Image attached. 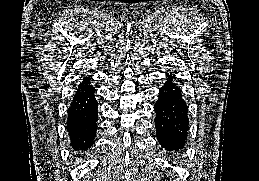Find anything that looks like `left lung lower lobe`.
Here are the masks:
<instances>
[{
    "mask_svg": "<svg viewBox=\"0 0 259 181\" xmlns=\"http://www.w3.org/2000/svg\"><path fill=\"white\" fill-rule=\"evenodd\" d=\"M173 79L167 73V81L159 89L158 100L154 105L158 141L170 152L184 147L189 128L187 105L182 98L181 89L175 85Z\"/></svg>",
    "mask_w": 259,
    "mask_h": 181,
    "instance_id": "0a47b994",
    "label": "left lung lower lobe"
}]
</instances>
